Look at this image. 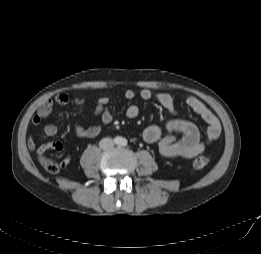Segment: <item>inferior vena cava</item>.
<instances>
[{"instance_id": "inferior-vena-cava-1", "label": "inferior vena cava", "mask_w": 261, "mask_h": 254, "mask_svg": "<svg viewBox=\"0 0 261 254\" xmlns=\"http://www.w3.org/2000/svg\"><path fill=\"white\" fill-rule=\"evenodd\" d=\"M100 148L107 150L114 146V142L111 138H103L99 143Z\"/></svg>"}]
</instances>
